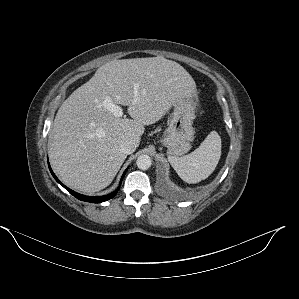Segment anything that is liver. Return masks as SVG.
<instances>
[{
  "mask_svg": "<svg viewBox=\"0 0 299 299\" xmlns=\"http://www.w3.org/2000/svg\"><path fill=\"white\" fill-rule=\"evenodd\" d=\"M188 96L198 98L196 83L175 61L157 56L107 62L56 114L49 145L54 171L76 191L104 189L126 159L121 141L131 139L138 147L145 125ZM107 98L127 106L132 119L115 116L103 104Z\"/></svg>",
  "mask_w": 299,
  "mask_h": 299,
  "instance_id": "6515ba94",
  "label": "liver"
}]
</instances>
